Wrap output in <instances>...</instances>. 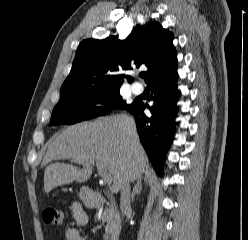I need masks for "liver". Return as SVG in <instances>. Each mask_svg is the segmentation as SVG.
Returning a JSON list of instances; mask_svg holds the SVG:
<instances>
[{
    "label": "liver",
    "mask_w": 248,
    "mask_h": 240,
    "mask_svg": "<svg viewBox=\"0 0 248 240\" xmlns=\"http://www.w3.org/2000/svg\"><path fill=\"white\" fill-rule=\"evenodd\" d=\"M60 159H73L83 168L52 163ZM146 162L147 156L139 142L132 117L120 114L78 123L53 137L42 162L46 166L44 191L49 193L55 187L73 181H87L96 163L105 166L111 173L112 189L117 193L126 181L142 177Z\"/></svg>",
    "instance_id": "obj_1"
}]
</instances>
